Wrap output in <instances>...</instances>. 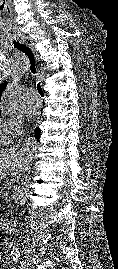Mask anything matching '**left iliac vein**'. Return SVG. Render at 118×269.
Segmentation results:
<instances>
[{
  "label": "left iliac vein",
  "mask_w": 118,
  "mask_h": 269,
  "mask_svg": "<svg viewBox=\"0 0 118 269\" xmlns=\"http://www.w3.org/2000/svg\"><path fill=\"white\" fill-rule=\"evenodd\" d=\"M27 265H28V264H27L26 262H23V263H22L23 269H25L26 267H28Z\"/></svg>",
  "instance_id": "left-iliac-vein-1"
}]
</instances>
